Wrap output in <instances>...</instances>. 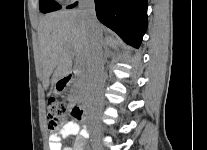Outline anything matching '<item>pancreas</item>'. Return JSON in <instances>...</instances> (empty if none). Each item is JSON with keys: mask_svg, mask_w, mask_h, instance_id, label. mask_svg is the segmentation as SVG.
I'll list each match as a JSON object with an SVG mask.
<instances>
[{"mask_svg": "<svg viewBox=\"0 0 207 150\" xmlns=\"http://www.w3.org/2000/svg\"><path fill=\"white\" fill-rule=\"evenodd\" d=\"M87 83H88V76L83 75L81 79L75 80L73 82V89L85 90L87 87Z\"/></svg>", "mask_w": 207, "mask_h": 150, "instance_id": "1", "label": "pancreas"}]
</instances>
